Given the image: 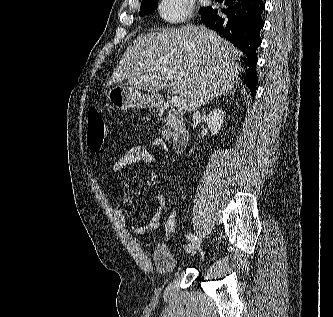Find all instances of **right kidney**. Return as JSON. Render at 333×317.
Here are the masks:
<instances>
[{"label":"right kidney","instance_id":"right-kidney-1","mask_svg":"<svg viewBox=\"0 0 333 317\" xmlns=\"http://www.w3.org/2000/svg\"><path fill=\"white\" fill-rule=\"evenodd\" d=\"M224 120V112L221 109H215L211 111L208 115V127L211 129L212 135H217V133L222 128Z\"/></svg>","mask_w":333,"mask_h":317}]
</instances>
